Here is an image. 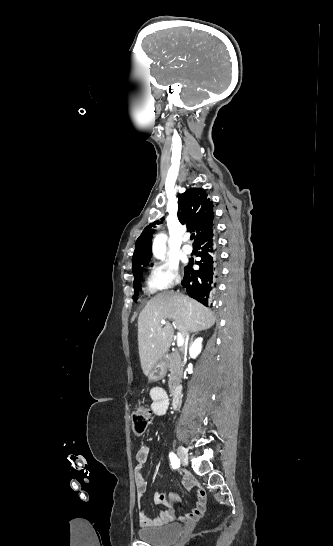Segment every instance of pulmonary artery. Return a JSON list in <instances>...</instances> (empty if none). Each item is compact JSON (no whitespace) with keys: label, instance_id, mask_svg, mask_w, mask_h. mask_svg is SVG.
<instances>
[{"label":"pulmonary artery","instance_id":"obj_1","mask_svg":"<svg viewBox=\"0 0 333 546\" xmlns=\"http://www.w3.org/2000/svg\"><path fill=\"white\" fill-rule=\"evenodd\" d=\"M192 246L189 245V244H184L183 247H182V251L185 253V254H190L192 252Z\"/></svg>","mask_w":333,"mask_h":546}]
</instances>
